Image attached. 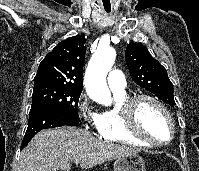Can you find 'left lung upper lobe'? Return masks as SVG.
Segmentation results:
<instances>
[{
  "mask_svg": "<svg viewBox=\"0 0 199 171\" xmlns=\"http://www.w3.org/2000/svg\"><path fill=\"white\" fill-rule=\"evenodd\" d=\"M125 60L129 73L136 84L151 91L163 102L175 105L173 84L166 69L140 43L128 44Z\"/></svg>",
  "mask_w": 199,
  "mask_h": 171,
  "instance_id": "left-lung-upper-lobe-1",
  "label": "left lung upper lobe"
}]
</instances>
